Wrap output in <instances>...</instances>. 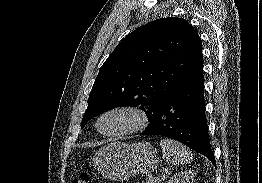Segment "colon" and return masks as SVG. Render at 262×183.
Returning <instances> with one entry per match:
<instances>
[{
  "label": "colon",
  "mask_w": 262,
  "mask_h": 183,
  "mask_svg": "<svg viewBox=\"0 0 262 183\" xmlns=\"http://www.w3.org/2000/svg\"><path fill=\"white\" fill-rule=\"evenodd\" d=\"M89 174L88 173H81L75 179L72 183H89Z\"/></svg>",
  "instance_id": "1"
}]
</instances>
